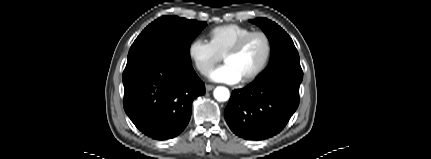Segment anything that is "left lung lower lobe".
Masks as SVG:
<instances>
[{"mask_svg": "<svg viewBox=\"0 0 431 159\" xmlns=\"http://www.w3.org/2000/svg\"><path fill=\"white\" fill-rule=\"evenodd\" d=\"M302 79L303 72L281 70L234 90L224 112L231 131L257 141L278 134L299 105Z\"/></svg>", "mask_w": 431, "mask_h": 159, "instance_id": "obj_1", "label": "left lung lower lobe"}]
</instances>
